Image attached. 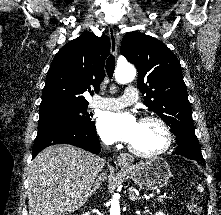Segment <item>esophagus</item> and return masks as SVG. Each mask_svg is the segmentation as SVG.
<instances>
[{
    "instance_id": "obj_1",
    "label": "esophagus",
    "mask_w": 221,
    "mask_h": 215,
    "mask_svg": "<svg viewBox=\"0 0 221 215\" xmlns=\"http://www.w3.org/2000/svg\"><path fill=\"white\" fill-rule=\"evenodd\" d=\"M108 35L110 38V44H111V53L113 55H117L118 53V46L119 42L117 39V36L115 34L113 26L109 27ZM133 163V157L129 154H120L118 156V164L119 166L126 168L129 167Z\"/></svg>"
}]
</instances>
